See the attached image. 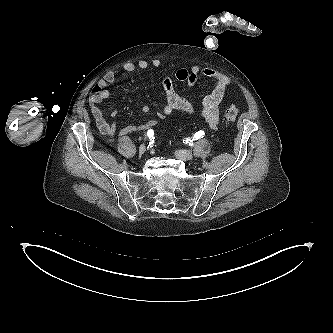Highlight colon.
Instances as JSON below:
<instances>
[{"label": "colon", "instance_id": "colon-1", "mask_svg": "<svg viewBox=\"0 0 333 333\" xmlns=\"http://www.w3.org/2000/svg\"><path fill=\"white\" fill-rule=\"evenodd\" d=\"M239 114L238 108L230 106L225 110L224 117L227 121H234Z\"/></svg>", "mask_w": 333, "mask_h": 333}]
</instances>
